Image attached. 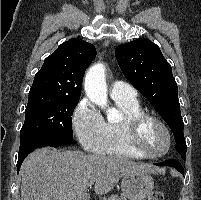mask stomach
Segmentation results:
<instances>
[{
  "label": "stomach",
  "mask_w": 201,
  "mask_h": 200,
  "mask_svg": "<svg viewBox=\"0 0 201 200\" xmlns=\"http://www.w3.org/2000/svg\"><path fill=\"white\" fill-rule=\"evenodd\" d=\"M121 188L129 200H144L154 189V181L147 172H133L123 177Z\"/></svg>",
  "instance_id": "obj_1"
}]
</instances>
